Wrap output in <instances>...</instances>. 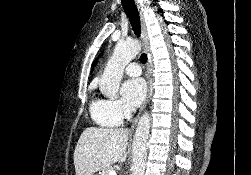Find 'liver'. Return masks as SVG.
<instances>
[{
  "instance_id": "obj_1",
  "label": "liver",
  "mask_w": 251,
  "mask_h": 175,
  "mask_svg": "<svg viewBox=\"0 0 251 175\" xmlns=\"http://www.w3.org/2000/svg\"><path fill=\"white\" fill-rule=\"evenodd\" d=\"M130 129H104L86 127L74 149L76 175H93L116 161H125Z\"/></svg>"
}]
</instances>
